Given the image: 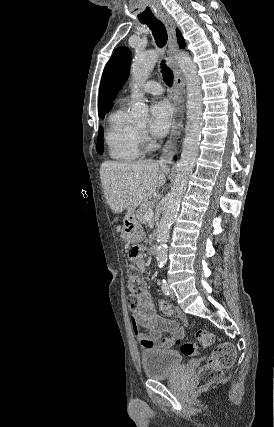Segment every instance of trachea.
<instances>
[{
	"mask_svg": "<svg viewBox=\"0 0 274 427\" xmlns=\"http://www.w3.org/2000/svg\"><path fill=\"white\" fill-rule=\"evenodd\" d=\"M141 23H143V25H147L150 28L155 38L156 44L158 45V47L163 48L167 43L168 36L167 30L165 28V25H163L162 21L158 20V18L156 17H152L141 21ZM160 68L165 83L169 87H172L173 73L172 70L167 67L165 60H162Z\"/></svg>",
	"mask_w": 274,
	"mask_h": 427,
	"instance_id": "trachea-1",
	"label": "trachea"
}]
</instances>
